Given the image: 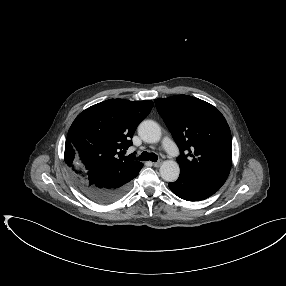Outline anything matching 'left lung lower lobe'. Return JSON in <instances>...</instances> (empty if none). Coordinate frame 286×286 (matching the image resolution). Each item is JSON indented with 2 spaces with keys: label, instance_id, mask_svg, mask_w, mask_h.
<instances>
[{
  "label": "left lung lower lobe",
  "instance_id": "1",
  "mask_svg": "<svg viewBox=\"0 0 286 286\" xmlns=\"http://www.w3.org/2000/svg\"><path fill=\"white\" fill-rule=\"evenodd\" d=\"M169 188L181 199L187 201L204 200L220 189V185L180 172L176 182L169 183Z\"/></svg>",
  "mask_w": 286,
  "mask_h": 286
}]
</instances>
